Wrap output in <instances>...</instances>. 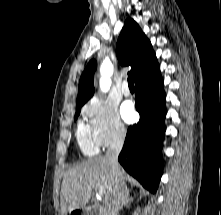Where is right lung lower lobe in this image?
<instances>
[{
	"instance_id": "1",
	"label": "right lung lower lobe",
	"mask_w": 221,
	"mask_h": 215,
	"mask_svg": "<svg viewBox=\"0 0 221 215\" xmlns=\"http://www.w3.org/2000/svg\"><path fill=\"white\" fill-rule=\"evenodd\" d=\"M165 97L160 70L136 83L135 106L140 120L128 128L118 157L123 168L152 193L162 175Z\"/></svg>"
}]
</instances>
